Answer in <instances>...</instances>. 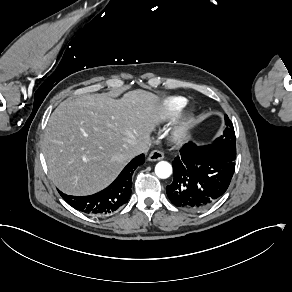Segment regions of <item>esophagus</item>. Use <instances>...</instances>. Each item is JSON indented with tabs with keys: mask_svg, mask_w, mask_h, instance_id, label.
Returning a JSON list of instances; mask_svg holds the SVG:
<instances>
[{
	"mask_svg": "<svg viewBox=\"0 0 292 292\" xmlns=\"http://www.w3.org/2000/svg\"><path fill=\"white\" fill-rule=\"evenodd\" d=\"M163 158H164V153L159 150H153L148 156L149 161H159Z\"/></svg>",
	"mask_w": 292,
	"mask_h": 292,
	"instance_id": "obj_1",
	"label": "esophagus"
}]
</instances>
